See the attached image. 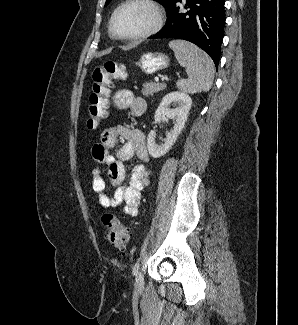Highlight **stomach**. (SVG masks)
<instances>
[{
  "instance_id": "1",
  "label": "stomach",
  "mask_w": 298,
  "mask_h": 325,
  "mask_svg": "<svg viewBox=\"0 0 298 325\" xmlns=\"http://www.w3.org/2000/svg\"><path fill=\"white\" fill-rule=\"evenodd\" d=\"M142 72L145 74H154L159 70H164L170 66V56L165 52H141L139 58L135 62Z\"/></svg>"
}]
</instances>
